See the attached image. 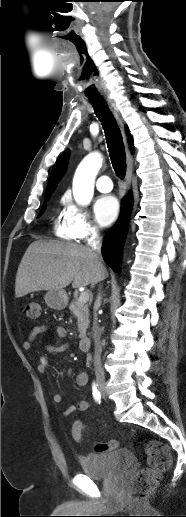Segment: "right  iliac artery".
<instances>
[{
  "label": "right iliac artery",
  "mask_w": 186,
  "mask_h": 517,
  "mask_svg": "<svg viewBox=\"0 0 186 517\" xmlns=\"http://www.w3.org/2000/svg\"><path fill=\"white\" fill-rule=\"evenodd\" d=\"M98 385L93 383L92 385V394H93V397L95 399L96 402L100 403L101 402V394H100V391L97 387Z\"/></svg>",
  "instance_id": "1"
}]
</instances>
